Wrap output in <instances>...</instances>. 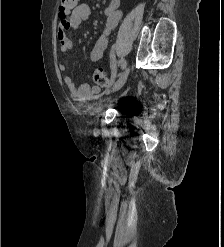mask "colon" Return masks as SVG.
<instances>
[{
    "label": "colon",
    "mask_w": 224,
    "mask_h": 247,
    "mask_svg": "<svg viewBox=\"0 0 224 247\" xmlns=\"http://www.w3.org/2000/svg\"><path fill=\"white\" fill-rule=\"evenodd\" d=\"M79 0H60L59 4V16L65 20L76 8ZM95 82L100 86H107L109 84V78L103 71H97L95 73Z\"/></svg>",
    "instance_id": "5ec220e1"
}]
</instances>
